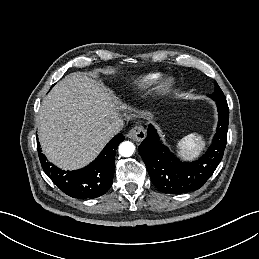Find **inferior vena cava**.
Wrapping results in <instances>:
<instances>
[{
	"instance_id": "obj_1",
	"label": "inferior vena cava",
	"mask_w": 259,
	"mask_h": 259,
	"mask_svg": "<svg viewBox=\"0 0 259 259\" xmlns=\"http://www.w3.org/2000/svg\"><path fill=\"white\" fill-rule=\"evenodd\" d=\"M124 126V120L122 118H118L114 120L108 127L110 132L113 134L118 133Z\"/></svg>"
}]
</instances>
